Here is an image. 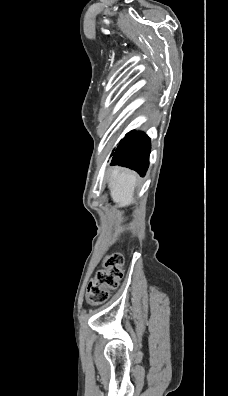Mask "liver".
<instances>
[{"instance_id": "liver-1", "label": "liver", "mask_w": 228, "mask_h": 396, "mask_svg": "<svg viewBox=\"0 0 228 396\" xmlns=\"http://www.w3.org/2000/svg\"><path fill=\"white\" fill-rule=\"evenodd\" d=\"M137 177L135 174L115 168L110 174L108 187L112 200L117 207H125L134 203V191Z\"/></svg>"}]
</instances>
